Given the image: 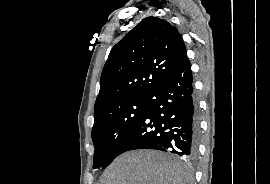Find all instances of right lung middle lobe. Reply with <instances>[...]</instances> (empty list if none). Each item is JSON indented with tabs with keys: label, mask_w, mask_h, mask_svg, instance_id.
Returning a JSON list of instances; mask_svg holds the SVG:
<instances>
[{
	"label": "right lung middle lobe",
	"mask_w": 270,
	"mask_h": 184,
	"mask_svg": "<svg viewBox=\"0 0 270 184\" xmlns=\"http://www.w3.org/2000/svg\"><path fill=\"white\" fill-rule=\"evenodd\" d=\"M147 101V96L132 98L109 109L94 122L93 168H106L119 155L121 146L144 117Z\"/></svg>",
	"instance_id": "1"
}]
</instances>
